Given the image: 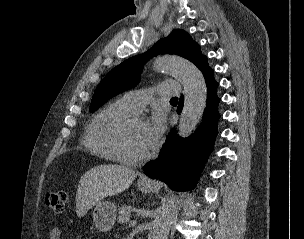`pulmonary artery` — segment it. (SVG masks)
Returning <instances> with one entry per match:
<instances>
[{"label":"pulmonary artery","instance_id":"pulmonary-artery-1","mask_svg":"<svg viewBox=\"0 0 304 239\" xmlns=\"http://www.w3.org/2000/svg\"><path fill=\"white\" fill-rule=\"evenodd\" d=\"M155 92L162 97H173L179 94L180 86L174 81H164L156 86ZM153 93L151 90H133L125 93L121 100L134 112H138L153 99Z\"/></svg>","mask_w":304,"mask_h":239}]
</instances>
